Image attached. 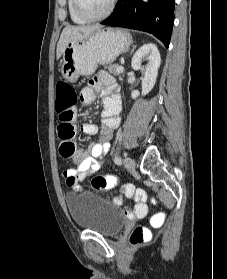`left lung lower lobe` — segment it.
Masks as SVG:
<instances>
[{
  "label": "left lung lower lobe",
  "instance_id": "0a47b994",
  "mask_svg": "<svg viewBox=\"0 0 227 279\" xmlns=\"http://www.w3.org/2000/svg\"><path fill=\"white\" fill-rule=\"evenodd\" d=\"M174 0H118L101 24L153 34L168 48L174 21Z\"/></svg>",
  "mask_w": 227,
  "mask_h": 279
}]
</instances>
